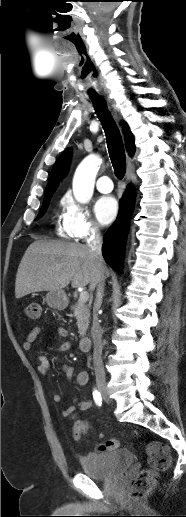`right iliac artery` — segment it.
I'll return each mask as SVG.
<instances>
[{
  "mask_svg": "<svg viewBox=\"0 0 186 517\" xmlns=\"http://www.w3.org/2000/svg\"><path fill=\"white\" fill-rule=\"evenodd\" d=\"M93 398H94L95 403L98 406H101V404H102V397H101L100 392L97 389H94V391H93Z\"/></svg>",
  "mask_w": 186,
  "mask_h": 517,
  "instance_id": "1",
  "label": "right iliac artery"
}]
</instances>
